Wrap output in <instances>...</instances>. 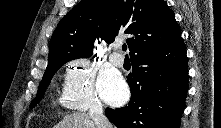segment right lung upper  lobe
<instances>
[{
  "instance_id": "1",
  "label": "right lung upper lobe",
  "mask_w": 221,
  "mask_h": 128,
  "mask_svg": "<svg viewBox=\"0 0 221 128\" xmlns=\"http://www.w3.org/2000/svg\"><path fill=\"white\" fill-rule=\"evenodd\" d=\"M122 33L127 35L131 58L170 46L181 37L174 13L164 0H83L57 25L48 64L88 58L96 38L111 43Z\"/></svg>"
}]
</instances>
